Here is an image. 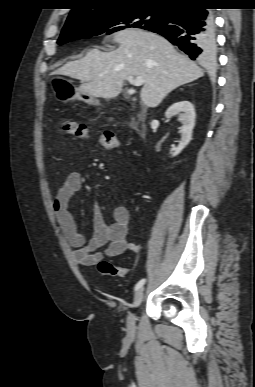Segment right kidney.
<instances>
[{
	"label": "right kidney",
	"instance_id": "obj_1",
	"mask_svg": "<svg viewBox=\"0 0 255 387\" xmlns=\"http://www.w3.org/2000/svg\"><path fill=\"white\" fill-rule=\"evenodd\" d=\"M178 115L182 123L181 140L178 147L174 149L172 156L178 155L191 141L192 131L195 125V109L189 101H179L171 105L165 112L167 118Z\"/></svg>",
	"mask_w": 255,
	"mask_h": 387
}]
</instances>
